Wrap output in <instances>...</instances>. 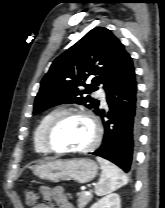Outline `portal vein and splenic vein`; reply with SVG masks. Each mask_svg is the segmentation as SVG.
Masks as SVG:
<instances>
[{
	"mask_svg": "<svg viewBox=\"0 0 165 208\" xmlns=\"http://www.w3.org/2000/svg\"><path fill=\"white\" fill-rule=\"evenodd\" d=\"M85 194L86 195H90V191H85Z\"/></svg>",
	"mask_w": 165,
	"mask_h": 208,
	"instance_id": "1",
	"label": "portal vein and splenic vein"
}]
</instances>
